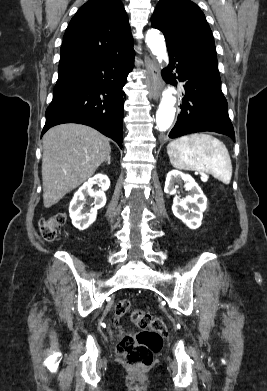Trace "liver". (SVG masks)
<instances>
[{"label":"liver","instance_id":"1","mask_svg":"<svg viewBox=\"0 0 267 391\" xmlns=\"http://www.w3.org/2000/svg\"><path fill=\"white\" fill-rule=\"evenodd\" d=\"M109 139L80 124H61L43 136V204L49 208L89 179L110 158Z\"/></svg>","mask_w":267,"mask_h":391}]
</instances>
